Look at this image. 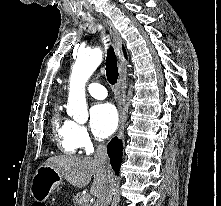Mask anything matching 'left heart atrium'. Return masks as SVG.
Listing matches in <instances>:
<instances>
[{"instance_id": "39dd6f15", "label": "left heart atrium", "mask_w": 221, "mask_h": 206, "mask_svg": "<svg viewBox=\"0 0 221 206\" xmlns=\"http://www.w3.org/2000/svg\"><path fill=\"white\" fill-rule=\"evenodd\" d=\"M118 121L117 110L110 103H100L91 109V128L94 133L101 138L110 136L116 130Z\"/></svg>"}]
</instances>
